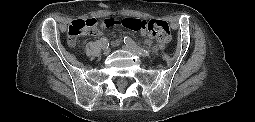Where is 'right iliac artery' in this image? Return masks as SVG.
Segmentation results:
<instances>
[{
	"instance_id": "obj_1",
	"label": "right iliac artery",
	"mask_w": 255,
	"mask_h": 122,
	"mask_svg": "<svg viewBox=\"0 0 255 122\" xmlns=\"http://www.w3.org/2000/svg\"><path fill=\"white\" fill-rule=\"evenodd\" d=\"M108 46H109V41H108V39H107V38H103V39H102V47H103V48H108Z\"/></svg>"
}]
</instances>
